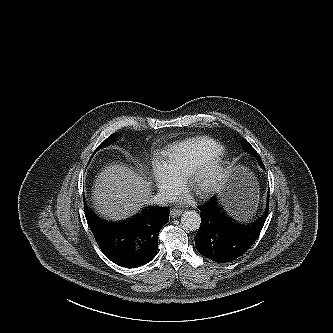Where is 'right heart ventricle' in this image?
<instances>
[{"mask_svg":"<svg viewBox=\"0 0 333 333\" xmlns=\"http://www.w3.org/2000/svg\"><path fill=\"white\" fill-rule=\"evenodd\" d=\"M223 151V145L217 140L207 136H197L168 146L163 151V157L176 176L185 178L198 163Z\"/></svg>","mask_w":333,"mask_h":333,"instance_id":"e07e8e85","label":"right heart ventricle"}]
</instances>
